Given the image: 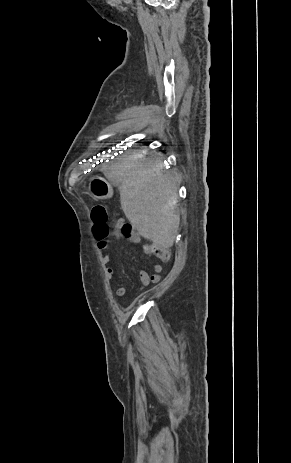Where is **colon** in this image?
I'll use <instances>...</instances> for the list:
<instances>
[{"mask_svg":"<svg viewBox=\"0 0 291 463\" xmlns=\"http://www.w3.org/2000/svg\"><path fill=\"white\" fill-rule=\"evenodd\" d=\"M92 220V234L97 240L99 248H104L107 245V238L111 233L115 232L118 238L130 239L133 235L131 225L121 219L115 220L113 223L109 222V211L103 204H97L91 209ZM151 251L155 257L161 261L169 259V252L163 247L153 245Z\"/></svg>","mask_w":291,"mask_h":463,"instance_id":"colon-1","label":"colon"}]
</instances>
